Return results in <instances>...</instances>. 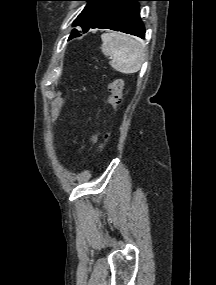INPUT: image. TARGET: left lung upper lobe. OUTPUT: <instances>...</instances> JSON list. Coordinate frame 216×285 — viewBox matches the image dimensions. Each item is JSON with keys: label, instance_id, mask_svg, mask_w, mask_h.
<instances>
[{"label": "left lung upper lobe", "instance_id": "5c2ea615", "mask_svg": "<svg viewBox=\"0 0 216 285\" xmlns=\"http://www.w3.org/2000/svg\"><path fill=\"white\" fill-rule=\"evenodd\" d=\"M86 1L87 5L83 11L78 15L73 23V27L80 26L81 31L88 28L97 17H99L105 10L113 5L117 0H81ZM78 31L73 29V32ZM72 32V33H73Z\"/></svg>", "mask_w": 216, "mask_h": 285}]
</instances>
